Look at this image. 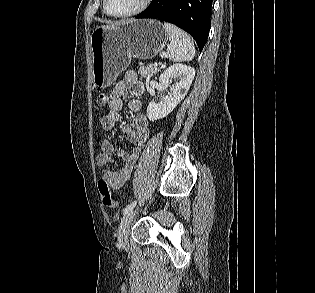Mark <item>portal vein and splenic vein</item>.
<instances>
[{
  "instance_id": "18ae733b",
  "label": "portal vein and splenic vein",
  "mask_w": 315,
  "mask_h": 293,
  "mask_svg": "<svg viewBox=\"0 0 315 293\" xmlns=\"http://www.w3.org/2000/svg\"><path fill=\"white\" fill-rule=\"evenodd\" d=\"M157 65H158L157 63L154 64V66H157Z\"/></svg>"
}]
</instances>
